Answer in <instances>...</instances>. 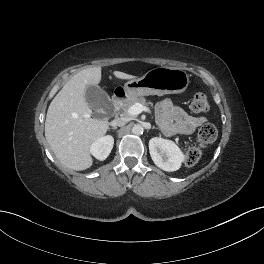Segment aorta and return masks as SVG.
<instances>
[{"mask_svg":"<svg viewBox=\"0 0 264 264\" xmlns=\"http://www.w3.org/2000/svg\"><path fill=\"white\" fill-rule=\"evenodd\" d=\"M143 131H144V128L140 124H135L132 128V133L135 135H140L143 133Z\"/></svg>","mask_w":264,"mask_h":264,"instance_id":"aorta-1","label":"aorta"}]
</instances>
